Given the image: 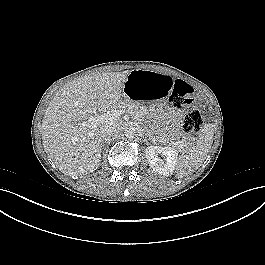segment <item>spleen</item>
Returning <instances> with one entry per match:
<instances>
[{"mask_svg": "<svg viewBox=\"0 0 265 265\" xmlns=\"http://www.w3.org/2000/svg\"><path fill=\"white\" fill-rule=\"evenodd\" d=\"M213 132L212 129H205L200 135L196 145L193 146L189 154L182 155L176 163V177L184 176L197 170L204 162L212 145Z\"/></svg>", "mask_w": 265, "mask_h": 265, "instance_id": "spleen-1", "label": "spleen"}]
</instances>
